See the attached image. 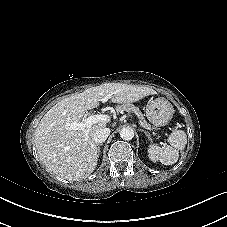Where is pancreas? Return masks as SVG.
I'll use <instances>...</instances> for the list:
<instances>
[{
    "instance_id": "1",
    "label": "pancreas",
    "mask_w": 227,
    "mask_h": 227,
    "mask_svg": "<svg viewBox=\"0 0 227 227\" xmlns=\"http://www.w3.org/2000/svg\"><path fill=\"white\" fill-rule=\"evenodd\" d=\"M116 111L117 112L126 111V112H130V113H134L142 124L148 125L146 120L144 119V116H143L142 112L140 111V109L132 104L123 103L121 105H117Z\"/></svg>"
}]
</instances>
